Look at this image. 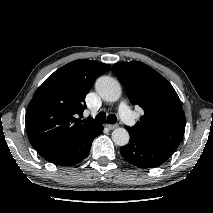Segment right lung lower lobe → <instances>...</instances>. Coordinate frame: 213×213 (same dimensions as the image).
Listing matches in <instances>:
<instances>
[{"instance_id": "obj_1", "label": "right lung lower lobe", "mask_w": 213, "mask_h": 213, "mask_svg": "<svg viewBox=\"0 0 213 213\" xmlns=\"http://www.w3.org/2000/svg\"><path fill=\"white\" fill-rule=\"evenodd\" d=\"M103 126L81 136L76 141L57 146H39L36 151L47 161L61 166L75 165L81 162L89 153L93 140L102 133Z\"/></svg>"}]
</instances>
